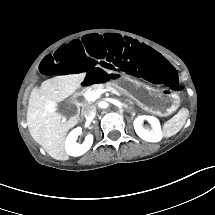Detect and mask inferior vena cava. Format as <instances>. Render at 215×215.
Listing matches in <instances>:
<instances>
[{"instance_id":"602c4592","label":"inferior vena cava","mask_w":215,"mask_h":215,"mask_svg":"<svg viewBox=\"0 0 215 215\" xmlns=\"http://www.w3.org/2000/svg\"><path fill=\"white\" fill-rule=\"evenodd\" d=\"M96 106L89 104L86 105L83 109H82V114L85 116L86 119H94V117L96 116Z\"/></svg>"}]
</instances>
